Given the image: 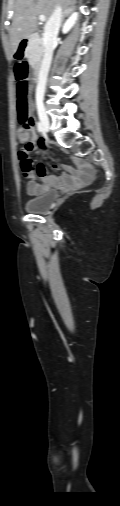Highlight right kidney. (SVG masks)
<instances>
[{"label":"right kidney","mask_w":120,"mask_h":506,"mask_svg":"<svg viewBox=\"0 0 120 506\" xmlns=\"http://www.w3.org/2000/svg\"><path fill=\"white\" fill-rule=\"evenodd\" d=\"M77 17H78L77 12H74L70 15V17L67 19V21L63 25V28H62L63 33H67L72 28V26L75 24V22L77 20Z\"/></svg>","instance_id":"1"}]
</instances>
